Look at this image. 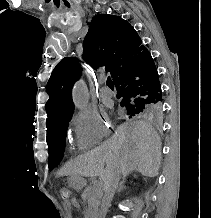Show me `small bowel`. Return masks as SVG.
Segmentation results:
<instances>
[{
    "label": "small bowel",
    "instance_id": "1",
    "mask_svg": "<svg viewBox=\"0 0 211 218\" xmlns=\"http://www.w3.org/2000/svg\"><path fill=\"white\" fill-rule=\"evenodd\" d=\"M77 202L75 200L69 201L66 203V207L77 206Z\"/></svg>",
    "mask_w": 211,
    "mask_h": 218
}]
</instances>
